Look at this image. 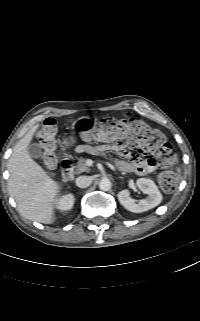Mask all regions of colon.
I'll return each mask as SVG.
<instances>
[{
	"label": "colon",
	"mask_w": 200,
	"mask_h": 321,
	"mask_svg": "<svg viewBox=\"0 0 200 321\" xmlns=\"http://www.w3.org/2000/svg\"><path fill=\"white\" fill-rule=\"evenodd\" d=\"M56 131L55 121L48 118L38 132V139L43 148L42 161L48 170H52L56 165ZM85 136L88 140H96L105 144H121L160 160L162 162V171L158 176L160 187L167 193L177 188L179 169L170 144L159 130L152 128L141 119H104L93 129L88 130Z\"/></svg>",
	"instance_id": "5ec220e1"
}]
</instances>
